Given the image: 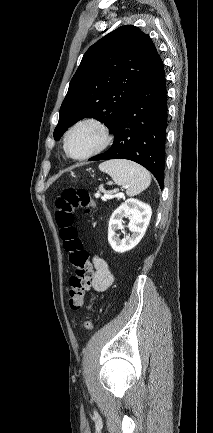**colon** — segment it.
Instances as JSON below:
<instances>
[{
  "instance_id": "5ec220e1",
  "label": "colon",
  "mask_w": 213,
  "mask_h": 433,
  "mask_svg": "<svg viewBox=\"0 0 213 433\" xmlns=\"http://www.w3.org/2000/svg\"><path fill=\"white\" fill-rule=\"evenodd\" d=\"M94 209L95 202L85 189H64L56 200L55 220L63 247L75 269L69 279L68 289V304L72 311H79L83 306L93 276L88 254L83 249L78 229L74 226V214L77 210H83L84 214L89 216ZM83 325L86 330H91L93 327L89 319H86Z\"/></svg>"
}]
</instances>
